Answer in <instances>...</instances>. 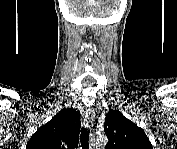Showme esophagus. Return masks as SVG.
<instances>
[{
    "instance_id": "obj_1",
    "label": "esophagus",
    "mask_w": 177,
    "mask_h": 149,
    "mask_svg": "<svg viewBox=\"0 0 177 149\" xmlns=\"http://www.w3.org/2000/svg\"><path fill=\"white\" fill-rule=\"evenodd\" d=\"M94 121V113L92 109H86L84 115V122L87 127H89Z\"/></svg>"
}]
</instances>
